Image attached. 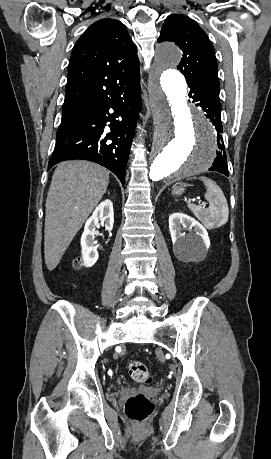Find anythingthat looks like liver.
<instances>
[{"instance_id": "obj_1", "label": "liver", "mask_w": 271, "mask_h": 459, "mask_svg": "<svg viewBox=\"0 0 271 459\" xmlns=\"http://www.w3.org/2000/svg\"><path fill=\"white\" fill-rule=\"evenodd\" d=\"M109 184L106 168L72 160L58 164L46 200L44 257L55 269L78 229L104 196Z\"/></svg>"}]
</instances>
